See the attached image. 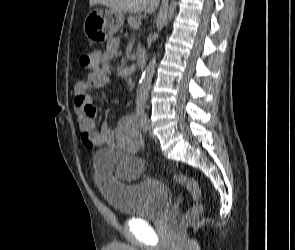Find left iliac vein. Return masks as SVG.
Returning <instances> with one entry per match:
<instances>
[{
	"label": "left iliac vein",
	"mask_w": 295,
	"mask_h": 250,
	"mask_svg": "<svg viewBox=\"0 0 295 250\" xmlns=\"http://www.w3.org/2000/svg\"><path fill=\"white\" fill-rule=\"evenodd\" d=\"M146 125H147V130H148V133L150 135V137L153 139V140H157V137L156 135L153 133L152 131V125H151V122L149 120H147L146 118Z\"/></svg>",
	"instance_id": "1"
}]
</instances>
